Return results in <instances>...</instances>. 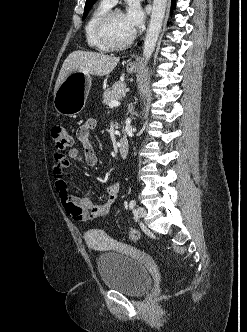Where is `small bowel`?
Wrapping results in <instances>:
<instances>
[{"instance_id":"obj_1","label":"small bowel","mask_w":247,"mask_h":332,"mask_svg":"<svg viewBox=\"0 0 247 332\" xmlns=\"http://www.w3.org/2000/svg\"><path fill=\"white\" fill-rule=\"evenodd\" d=\"M96 126V119H88L77 130V138L81 144V151L72 148L69 150L67 156L56 154L54 159L53 179L60 202L67 215L78 222H90L108 214L119 194L118 183H113L107 188L105 201L100 204H94L88 197H79L70 194L65 181V171L69 167L70 161L83 162L90 167L97 164V156L89 140L90 132Z\"/></svg>"}]
</instances>
